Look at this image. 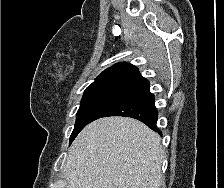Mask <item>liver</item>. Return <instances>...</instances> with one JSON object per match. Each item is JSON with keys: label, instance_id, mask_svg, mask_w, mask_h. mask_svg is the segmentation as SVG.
<instances>
[{"label": "liver", "instance_id": "1", "mask_svg": "<svg viewBox=\"0 0 224 188\" xmlns=\"http://www.w3.org/2000/svg\"><path fill=\"white\" fill-rule=\"evenodd\" d=\"M160 136L138 120L107 117L88 124L69 150L67 188H160Z\"/></svg>", "mask_w": 224, "mask_h": 188}]
</instances>
